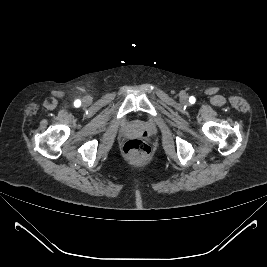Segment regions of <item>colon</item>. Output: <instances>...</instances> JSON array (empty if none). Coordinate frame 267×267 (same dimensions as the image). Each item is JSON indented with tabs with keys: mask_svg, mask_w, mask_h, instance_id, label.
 Wrapping results in <instances>:
<instances>
[{
	"mask_svg": "<svg viewBox=\"0 0 267 267\" xmlns=\"http://www.w3.org/2000/svg\"><path fill=\"white\" fill-rule=\"evenodd\" d=\"M124 152L133 159H144L150 153L149 146L140 139H131L124 145Z\"/></svg>",
	"mask_w": 267,
	"mask_h": 267,
	"instance_id": "5ec220e1",
	"label": "colon"
}]
</instances>
